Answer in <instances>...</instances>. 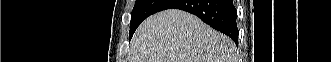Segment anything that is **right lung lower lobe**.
<instances>
[{
    "instance_id": "obj_1",
    "label": "right lung lower lobe",
    "mask_w": 331,
    "mask_h": 62,
    "mask_svg": "<svg viewBox=\"0 0 331 62\" xmlns=\"http://www.w3.org/2000/svg\"><path fill=\"white\" fill-rule=\"evenodd\" d=\"M171 8L198 16L238 44L237 12L232 0H171L163 10Z\"/></svg>"
}]
</instances>
